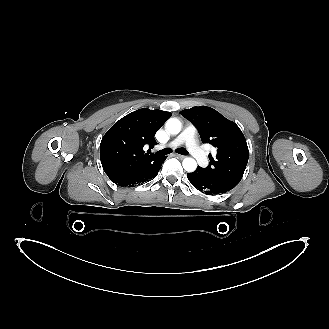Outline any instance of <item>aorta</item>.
Listing matches in <instances>:
<instances>
[{"label":"aorta","instance_id":"1","mask_svg":"<svg viewBox=\"0 0 329 329\" xmlns=\"http://www.w3.org/2000/svg\"><path fill=\"white\" fill-rule=\"evenodd\" d=\"M166 130L171 134H178L181 131V122L176 118H170L166 122ZM183 168L187 172H193L197 168V162L195 159L187 157L182 162Z\"/></svg>","mask_w":329,"mask_h":329}]
</instances>
